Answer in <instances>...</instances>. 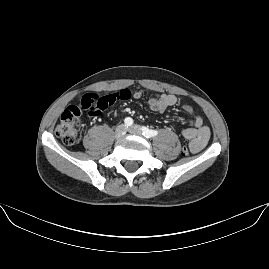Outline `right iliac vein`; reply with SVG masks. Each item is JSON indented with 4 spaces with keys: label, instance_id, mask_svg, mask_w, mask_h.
I'll use <instances>...</instances> for the list:
<instances>
[{
    "label": "right iliac vein",
    "instance_id": "obj_1",
    "mask_svg": "<svg viewBox=\"0 0 269 269\" xmlns=\"http://www.w3.org/2000/svg\"><path fill=\"white\" fill-rule=\"evenodd\" d=\"M126 134V127L125 125L121 124L118 125L115 131V138L119 139L121 137H123Z\"/></svg>",
    "mask_w": 269,
    "mask_h": 269
}]
</instances>
